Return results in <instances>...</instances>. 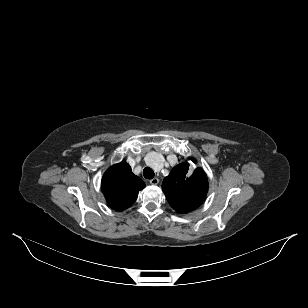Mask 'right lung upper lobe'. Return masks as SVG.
Wrapping results in <instances>:
<instances>
[{
    "mask_svg": "<svg viewBox=\"0 0 308 308\" xmlns=\"http://www.w3.org/2000/svg\"><path fill=\"white\" fill-rule=\"evenodd\" d=\"M101 187L108 205L116 211H123L135 202L145 184L132 173L126 161H122L105 172Z\"/></svg>",
    "mask_w": 308,
    "mask_h": 308,
    "instance_id": "cb5924a9",
    "label": "right lung upper lobe"
}]
</instances>
